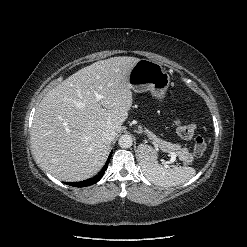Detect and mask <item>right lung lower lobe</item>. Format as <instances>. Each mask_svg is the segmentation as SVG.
Masks as SVG:
<instances>
[{
  "mask_svg": "<svg viewBox=\"0 0 247 247\" xmlns=\"http://www.w3.org/2000/svg\"><path fill=\"white\" fill-rule=\"evenodd\" d=\"M111 156H112V152L110 153L109 158L106 161V163H105L104 167L102 168V170L95 177L87 179V180H84V181H81V182H76V183L67 182L66 184H68L70 186H75V187H86V186H90L92 184H95L96 182H98L103 177V175H104V173H105V171H106V169L108 167L109 160H110Z\"/></svg>",
  "mask_w": 247,
  "mask_h": 247,
  "instance_id": "98d812e1",
  "label": "right lung lower lobe"
}]
</instances>
